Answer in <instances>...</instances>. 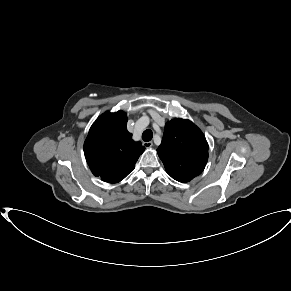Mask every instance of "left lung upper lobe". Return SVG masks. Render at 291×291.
Instances as JSON below:
<instances>
[{
  "instance_id": "left-lung-upper-lobe-1",
  "label": "left lung upper lobe",
  "mask_w": 291,
  "mask_h": 291,
  "mask_svg": "<svg viewBox=\"0 0 291 291\" xmlns=\"http://www.w3.org/2000/svg\"><path fill=\"white\" fill-rule=\"evenodd\" d=\"M157 152L167 173L173 179L186 183L204 170L208 160V143L194 123L175 118L166 123Z\"/></svg>"
}]
</instances>
